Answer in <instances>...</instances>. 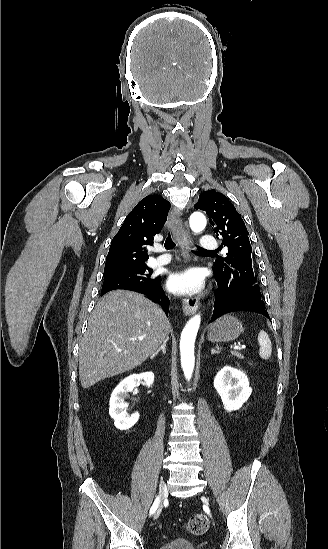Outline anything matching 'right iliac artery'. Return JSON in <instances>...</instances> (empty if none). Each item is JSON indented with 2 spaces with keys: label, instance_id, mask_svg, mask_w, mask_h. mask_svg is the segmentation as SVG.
<instances>
[{
  "label": "right iliac artery",
  "instance_id": "obj_1",
  "mask_svg": "<svg viewBox=\"0 0 328 549\" xmlns=\"http://www.w3.org/2000/svg\"><path fill=\"white\" fill-rule=\"evenodd\" d=\"M158 505H159V497H156V499H155V501H154V503H153V505H152V507H151V509H150V515H152V514L155 513V511H156Z\"/></svg>",
  "mask_w": 328,
  "mask_h": 549
}]
</instances>
